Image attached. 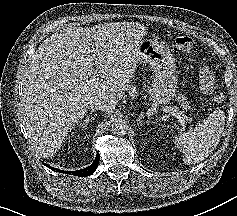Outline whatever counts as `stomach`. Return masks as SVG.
Returning <instances> with one entry per match:
<instances>
[{
    "mask_svg": "<svg viewBox=\"0 0 237 216\" xmlns=\"http://www.w3.org/2000/svg\"><path fill=\"white\" fill-rule=\"evenodd\" d=\"M138 53L139 59L152 65L156 71L152 99L159 104L169 103L176 93V76L170 51L164 45L148 39L140 44Z\"/></svg>",
    "mask_w": 237,
    "mask_h": 216,
    "instance_id": "0dacf381",
    "label": "stomach"
}]
</instances>
